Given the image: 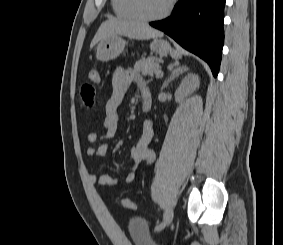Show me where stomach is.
Returning <instances> with one entry per match:
<instances>
[{
    "label": "stomach",
    "instance_id": "0dacf381",
    "mask_svg": "<svg viewBox=\"0 0 283 245\" xmlns=\"http://www.w3.org/2000/svg\"><path fill=\"white\" fill-rule=\"evenodd\" d=\"M126 44L127 42L117 34L103 38L96 49L97 60L107 62L117 58L123 53ZM150 48L157 54L164 56L170 55L174 59L180 58V53L172 49L170 44L165 40L154 39L150 44Z\"/></svg>",
    "mask_w": 283,
    "mask_h": 245
}]
</instances>
